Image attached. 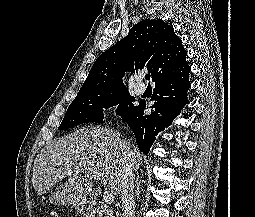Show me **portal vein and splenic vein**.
I'll list each match as a JSON object with an SVG mask.
<instances>
[{
    "mask_svg": "<svg viewBox=\"0 0 255 217\" xmlns=\"http://www.w3.org/2000/svg\"><path fill=\"white\" fill-rule=\"evenodd\" d=\"M67 175H72V171L69 170V171L67 172ZM93 177H94V179H96V180H101V176L98 175V174H93ZM103 200H104V202H105L106 204H111V203H113V201H114L113 193L110 192L109 190H105V191H104V194H103Z\"/></svg>",
    "mask_w": 255,
    "mask_h": 217,
    "instance_id": "1",
    "label": "portal vein and splenic vein"
}]
</instances>
